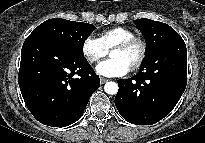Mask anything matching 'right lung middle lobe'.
<instances>
[{
    "label": "right lung middle lobe",
    "mask_w": 205,
    "mask_h": 143,
    "mask_svg": "<svg viewBox=\"0 0 205 143\" xmlns=\"http://www.w3.org/2000/svg\"><path fill=\"white\" fill-rule=\"evenodd\" d=\"M94 30L95 27L92 24L53 18L36 27L31 35L51 38L71 51L83 55V44Z\"/></svg>",
    "instance_id": "obj_1"
}]
</instances>
